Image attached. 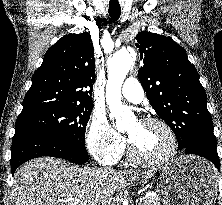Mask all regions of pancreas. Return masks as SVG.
<instances>
[{
  "label": "pancreas",
  "instance_id": "obj_1",
  "mask_svg": "<svg viewBox=\"0 0 222 205\" xmlns=\"http://www.w3.org/2000/svg\"><path fill=\"white\" fill-rule=\"evenodd\" d=\"M139 205H160V203L156 197L145 196L139 199Z\"/></svg>",
  "mask_w": 222,
  "mask_h": 205
}]
</instances>
